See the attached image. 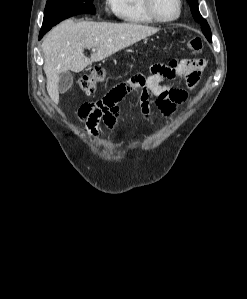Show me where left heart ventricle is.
<instances>
[{
    "label": "left heart ventricle",
    "mask_w": 247,
    "mask_h": 299,
    "mask_svg": "<svg viewBox=\"0 0 247 299\" xmlns=\"http://www.w3.org/2000/svg\"><path fill=\"white\" fill-rule=\"evenodd\" d=\"M156 13L162 18H171L177 12L176 0H154Z\"/></svg>",
    "instance_id": "left-heart-ventricle-1"
}]
</instances>
